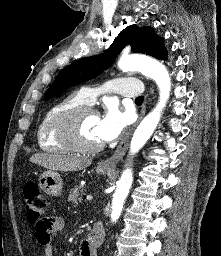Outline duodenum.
Masks as SVG:
<instances>
[{
	"label": "duodenum",
	"mask_w": 221,
	"mask_h": 256,
	"mask_svg": "<svg viewBox=\"0 0 221 256\" xmlns=\"http://www.w3.org/2000/svg\"><path fill=\"white\" fill-rule=\"evenodd\" d=\"M103 235V226L101 225V223L97 222L94 224L90 234L86 238V241L92 248L96 249L101 244Z\"/></svg>",
	"instance_id": "1"
}]
</instances>
